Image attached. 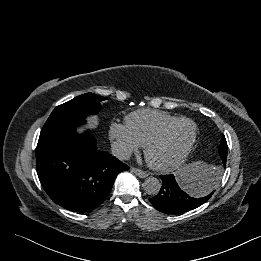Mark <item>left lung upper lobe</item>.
<instances>
[{
  "instance_id": "1",
  "label": "left lung upper lobe",
  "mask_w": 261,
  "mask_h": 261,
  "mask_svg": "<svg viewBox=\"0 0 261 261\" xmlns=\"http://www.w3.org/2000/svg\"><path fill=\"white\" fill-rule=\"evenodd\" d=\"M227 150H228V146H227V142L224 136H222L221 142H220V146H219V154L221 156V158H227Z\"/></svg>"
}]
</instances>
